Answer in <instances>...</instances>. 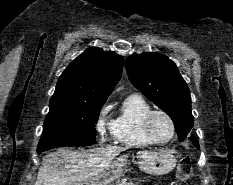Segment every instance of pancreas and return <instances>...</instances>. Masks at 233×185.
Returning <instances> with one entry per match:
<instances>
[{
  "label": "pancreas",
  "mask_w": 233,
  "mask_h": 185,
  "mask_svg": "<svg viewBox=\"0 0 233 185\" xmlns=\"http://www.w3.org/2000/svg\"><path fill=\"white\" fill-rule=\"evenodd\" d=\"M113 185H139L138 183L133 184L132 182H127L126 178L118 179Z\"/></svg>",
  "instance_id": "pancreas-1"
}]
</instances>
